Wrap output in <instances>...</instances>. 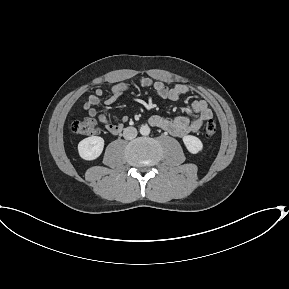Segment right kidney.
<instances>
[{
  "label": "right kidney",
  "mask_w": 289,
  "mask_h": 289,
  "mask_svg": "<svg viewBox=\"0 0 289 289\" xmlns=\"http://www.w3.org/2000/svg\"><path fill=\"white\" fill-rule=\"evenodd\" d=\"M104 148V139L99 136H91L83 139L78 144V152L84 160H94L98 158Z\"/></svg>",
  "instance_id": "ca27d5eb"
}]
</instances>
